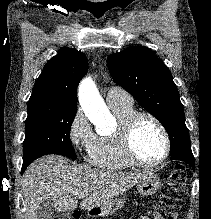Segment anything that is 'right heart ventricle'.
Returning a JSON list of instances; mask_svg holds the SVG:
<instances>
[{
    "label": "right heart ventricle",
    "mask_w": 211,
    "mask_h": 219,
    "mask_svg": "<svg viewBox=\"0 0 211 219\" xmlns=\"http://www.w3.org/2000/svg\"><path fill=\"white\" fill-rule=\"evenodd\" d=\"M114 117L117 120L116 129L107 135H99L88 150L87 160L96 167L123 170L133 166L125 157L120 140L121 127L125 120L132 115L135 110L132 104L109 105Z\"/></svg>",
    "instance_id": "right-heart-ventricle-1"
}]
</instances>
